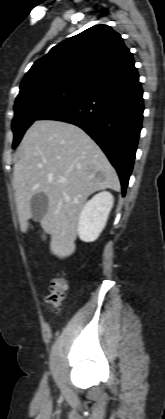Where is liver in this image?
Wrapping results in <instances>:
<instances>
[{"label": "liver", "mask_w": 165, "mask_h": 419, "mask_svg": "<svg viewBox=\"0 0 165 419\" xmlns=\"http://www.w3.org/2000/svg\"><path fill=\"white\" fill-rule=\"evenodd\" d=\"M18 155L13 188L22 232L28 230L32 217V197L44 193L48 210L40 224L44 233L51 235L50 250L61 259L70 256L75 251L79 215L87 198L106 188L119 190L115 169L81 128L56 120L34 122L21 141Z\"/></svg>", "instance_id": "liver-1"}]
</instances>
